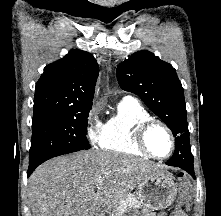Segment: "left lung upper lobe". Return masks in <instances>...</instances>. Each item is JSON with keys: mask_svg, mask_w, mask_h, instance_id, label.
<instances>
[{"mask_svg": "<svg viewBox=\"0 0 221 216\" xmlns=\"http://www.w3.org/2000/svg\"><path fill=\"white\" fill-rule=\"evenodd\" d=\"M122 89L138 95L172 130L175 147L190 150L187 111L175 69L149 51L134 53L117 67Z\"/></svg>", "mask_w": 221, "mask_h": 216, "instance_id": "1", "label": "left lung upper lobe"}]
</instances>
